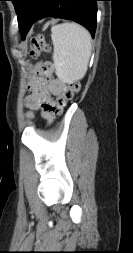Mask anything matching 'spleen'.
Segmentation results:
<instances>
[{"label":"spleen","instance_id":"1","mask_svg":"<svg viewBox=\"0 0 133 253\" xmlns=\"http://www.w3.org/2000/svg\"><path fill=\"white\" fill-rule=\"evenodd\" d=\"M53 62L57 77L64 83L82 79L91 56V35L76 23L52 27Z\"/></svg>","mask_w":133,"mask_h":253}]
</instances>
